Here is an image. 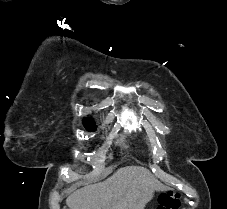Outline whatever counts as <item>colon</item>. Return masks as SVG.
<instances>
[{
	"mask_svg": "<svg viewBox=\"0 0 227 209\" xmlns=\"http://www.w3.org/2000/svg\"><path fill=\"white\" fill-rule=\"evenodd\" d=\"M180 195L176 192L167 191L159 196L157 209H179L180 208Z\"/></svg>",
	"mask_w": 227,
	"mask_h": 209,
	"instance_id": "1",
	"label": "colon"
}]
</instances>
